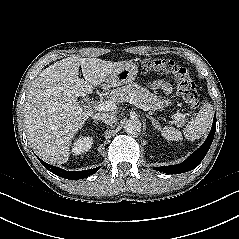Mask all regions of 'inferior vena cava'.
Here are the masks:
<instances>
[{
	"label": "inferior vena cava",
	"instance_id": "inferior-vena-cava-1",
	"mask_svg": "<svg viewBox=\"0 0 239 239\" xmlns=\"http://www.w3.org/2000/svg\"><path fill=\"white\" fill-rule=\"evenodd\" d=\"M93 119L103 121L107 125H111L117 121V117L111 113H98L92 116Z\"/></svg>",
	"mask_w": 239,
	"mask_h": 239
}]
</instances>
